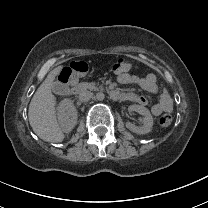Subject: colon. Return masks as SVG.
<instances>
[{"mask_svg":"<svg viewBox=\"0 0 208 208\" xmlns=\"http://www.w3.org/2000/svg\"><path fill=\"white\" fill-rule=\"evenodd\" d=\"M71 68L76 74H84L87 71V63L83 60H77L71 63ZM136 70V65L132 59L119 58L112 65L111 71L116 75H124ZM172 116L164 113L159 118V124L162 127H169L172 124Z\"/></svg>","mask_w":208,"mask_h":208,"instance_id":"5ec220e1","label":"colon"}]
</instances>
